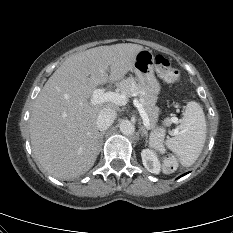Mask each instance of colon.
<instances>
[{"label":"colon","mask_w":233,"mask_h":233,"mask_svg":"<svg viewBox=\"0 0 233 233\" xmlns=\"http://www.w3.org/2000/svg\"><path fill=\"white\" fill-rule=\"evenodd\" d=\"M154 65L158 75L167 83H175L179 80V71L172 67L170 61L166 57L156 55L154 57ZM164 138V130L159 128L153 131L149 140L150 147L162 155L165 154ZM161 168L164 173H174L178 168V161L176 157L172 154L164 155Z\"/></svg>","instance_id":"1"}]
</instances>
